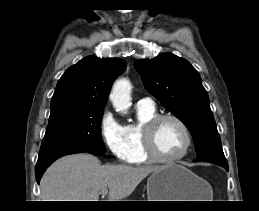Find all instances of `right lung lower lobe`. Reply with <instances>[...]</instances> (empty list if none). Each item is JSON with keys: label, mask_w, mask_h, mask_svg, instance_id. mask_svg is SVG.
Instances as JSON below:
<instances>
[{"label": "right lung lower lobe", "mask_w": 259, "mask_h": 211, "mask_svg": "<svg viewBox=\"0 0 259 211\" xmlns=\"http://www.w3.org/2000/svg\"><path fill=\"white\" fill-rule=\"evenodd\" d=\"M83 152H88L95 155H104V152L90 151V150L78 149V148H67V149L57 150L47 155H44L42 157H39L35 168L37 182L38 183L40 182V178L42 177L47 167H49L58 158L67 154L83 153Z\"/></svg>", "instance_id": "obj_1"}]
</instances>
